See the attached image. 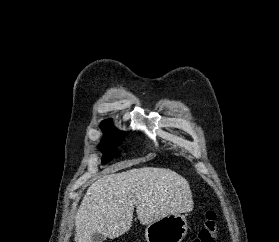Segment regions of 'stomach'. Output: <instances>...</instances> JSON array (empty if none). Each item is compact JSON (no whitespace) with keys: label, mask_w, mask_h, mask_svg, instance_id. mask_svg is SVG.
Listing matches in <instances>:
<instances>
[{"label":"stomach","mask_w":279,"mask_h":242,"mask_svg":"<svg viewBox=\"0 0 279 242\" xmlns=\"http://www.w3.org/2000/svg\"><path fill=\"white\" fill-rule=\"evenodd\" d=\"M188 231L186 217L170 214L149 224L145 229L147 242H181Z\"/></svg>","instance_id":"obj_1"}]
</instances>
